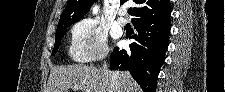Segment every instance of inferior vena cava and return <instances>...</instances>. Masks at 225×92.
Here are the masks:
<instances>
[{
  "label": "inferior vena cava",
  "mask_w": 225,
  "mask_h": 92,
  "mask_svg": "<svg viewBox=\"0 0 225 92\" xmlns=\"http://www.w3.org/2000/svg\"><path fill=\"white\" fill-rule=\"evenodd\" d=\"M108 56H109V52L108 51H105L104 52V58H108ZM103 70L104 71H107V72L109 71L108 70V63H107V61H104V63H103ZM116 82H117L116 76L113 73L112 76H111V84L114 86L116 84Z\"/></svg>",
  "instance_id": "inferior-vena-cava-1"
}]
</instances>
